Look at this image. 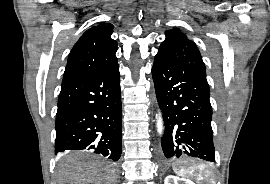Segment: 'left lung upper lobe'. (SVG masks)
I'll list each match as a JSON object with an SVG mask.
<instances>
[{
	"label": "left lung upper lobe",
	"instance_id": "left-lung-upper-lobe-1",
	"mask_svg": "<svg viewBox=\"0 0 270 184\" xmlns=\"http://www.w3.org/2000/svg\"><path fill=\"white\" fill-rule=\"evenodd\" d=\"M158 55L176 60L206 80V67L194 42L178 29L166 31V39L161 43Z\"/></svg>",
	"mask_w": 270,
	"mask_h": 184
}]
</instances>
